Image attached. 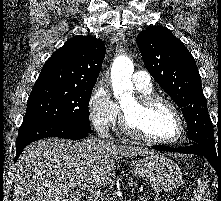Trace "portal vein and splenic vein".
Wrapping results in <instances>:
<instances>
[{"instance_id":"1","label":"portal vein and splenic vein","mask_w":221,"mask_h":201,"mask_svg":"<svg viewBox=\"0 0 221 201\" xmlns=\"http://www.w3.org/2000/svg\"><path fill=\"white\" fill-rule=\"evenodd\" d=\"M91 192L94 193L95 191L91 190ZM140 200H141V201H146V198H145L144 196H140Z\"/></svg>"}]
</instances>
